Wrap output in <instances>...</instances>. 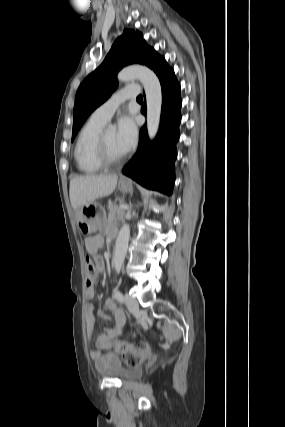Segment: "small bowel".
Instances as JSON below:
<instances>
[{
	"label": "small bowel",
	"instance_id": "small-bowel-1",
	"mask_svg": "<svg viewBox=\"0 0 285 427\" xmlns=\"http://www.w3.org/2000/svg\"><path fill=\"white\" fill-rule=\"evenodd\" d=\"M103 244V237L101 235H95L86 240V249L96 261L97 269L100 273L104 271V262L99 256V250ZM86 298L91 300L96 296V289L94 285L88 286L86 289ZM106 309L112 314L113 326L103 329L98 332L96 336V349L90 352V357L94 361L95 366L98 370L102 371L108 367L120 363L119 357L113 353H104L111 349L112 341L121 336L125 331L126 318L123 310L118 306L117 302L113 298H108L105 301ZM87 312L89 316L88 320V332L91 336L93 332V320L95 318L103 319L108 316L96 310L93 305L87 306Z\"/></svg>",
	"mask_w": 285,
	"mask_h": 427
}]
</instances>
